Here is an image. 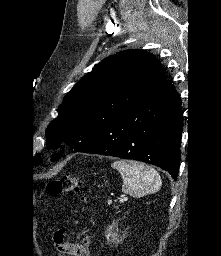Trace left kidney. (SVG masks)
<instances>
[{
    "instance_id": "1",
    "label": "left kidney",
    "mask_w": 221,
    "mask_h": 256,
    "mask_svg": "<svg viewBox=\"0 0 221 256\" xmlns=\"http://www.w3.org/2000/svg\"><path fill=\"white\" fill-rule=\"evenodd\" d=\"M114 225H111L109 227V233L107 234L106 238L107 240H109L110 237H112V241H116L118 242V239H117V234L112 232V229H113Z\"/></svg>"
}]
</instances>
